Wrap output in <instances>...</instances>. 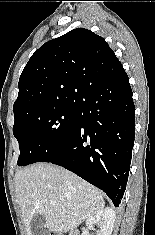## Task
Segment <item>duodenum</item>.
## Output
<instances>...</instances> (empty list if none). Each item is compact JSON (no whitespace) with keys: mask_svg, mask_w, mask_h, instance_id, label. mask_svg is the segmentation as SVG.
Segmentation results:
<instances>
[{"mask_svg":"<svg viewBox=\"0 0 155 235\" xmlns=\"http://www.w3.org/2000/svg\"><path fill=\"white\" fill-rule=\"evenodd\" d=\"M69 235H79V233L76 230H72Z\"/></svg>","mask_w":155,"mask_h":235,"instance_id":"410a0bca","label":"duodenum"}]
</instances>
